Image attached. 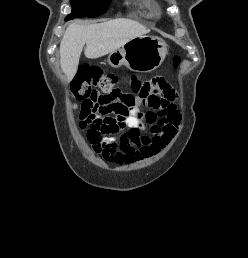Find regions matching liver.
<instances>
[{
  "label": "liver",
  "mask_w": 248,
  "mask_h": 258,
  "mask_svg": "<svg viewBox=\"0 0 248 258\" xmlns=\"http://www.w3.org/2000/svg\"><path fill=\"white\" fill-rule=\"evenodd\" d=\"M150 30L137 21L125 18L98 24H71L60 43V64L67 80L75 76L79 58L86 44L85 56L96 59L110 54L133 38L143 36Z\"/></svg>",
  "instance_id": "1"
}]
</instances>
